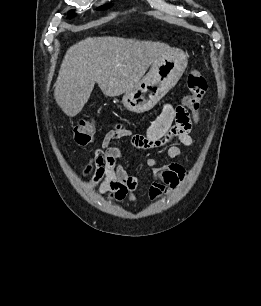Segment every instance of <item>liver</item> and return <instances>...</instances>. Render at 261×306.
Wrapping results in <instances>:
<instances>
[{
	"instance_id": "liver-1",
	"label": "liver",
	"mask_w": 261,
	"mask_h": 306,
	"mask_svg": "<svg viewBox=\"0 0 261 306\" xmlns=\"http://www.w3.org/2000/svg\"><path fill=\"white\" fill-rule=\"evenodd\" d=\"M170 50L161 42L88 37L66 52L55 84V100L67 116L74 117L87 103L95 83L104 95L119 96L132 90L149 66Z\"/></svg>"
}]
</instances>
